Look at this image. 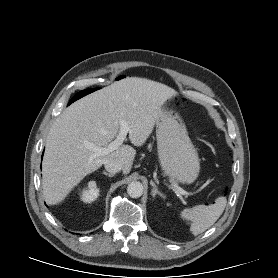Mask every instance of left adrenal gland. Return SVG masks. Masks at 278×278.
<instances>
[{
	"mask_svg": "<svg viewBox=\"0 0 278 278\" xmlns=\"http://www.w3.org/2000/svg\"><path fill=\"white\" fill-rule=\"evenodd\" d=\"M150 184L153 187L152 192H151L153 197H155L156 195H159L160 197L165 198V196L160 191H158V188L153 181H151Z\"/></svg>",
	"mask_w": 278,
	"mask_h": 278,
	"instance_id": "left-adrenal-gland-1",
	"label": "left adrenal gland"
}]
</instances>
